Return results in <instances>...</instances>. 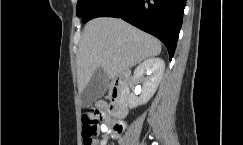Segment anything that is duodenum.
I'll use <instances>...</instances> for the list:
<instances>
[{
	"label": "duodenum",
	"instance_id": "1",
	"mask_svg": "<svg viewBox=\"0 0 243 145\" xmlns=\"http://www.w3.org/2000/svg\"><path fill=\"white\" fill-rule=\"evenodd\" d=\"M130 74L127 71L120 72L112 85L110 92V111L116 118H124L128 112Z\"/></svg>",
	"mask_w": 243,
	"mask_h": 145
}]
</instances>
